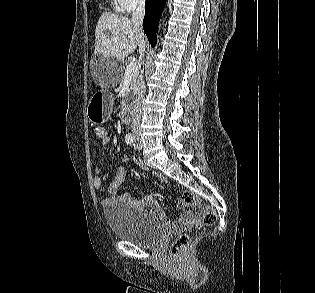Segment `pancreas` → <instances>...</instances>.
I'll use <instances>...</instances> for the list:
<instances>
[{"instance_id": "cf45deb5", "label": "pancreas", "mask_w": 315, "mask_h": 293, "mask_svg": "<svg viewBox=\"0 0 315 293\" xmlns=\"http://www.w3.org/2000/svg\"><path fill=\"white\" fill-rule=\"evenodd\" d=\"M137 76H138L137 73H135V74L133 75L132 81H131L129 87L126 89V96L132 94V92H133V90H134V81H135V79L137 78ZM122 84H123V78H122L121 81H120L119 90L122 89ZM125 101H126V98H123V100H122V106H125Z\"/></svg>"}]
</instances>
